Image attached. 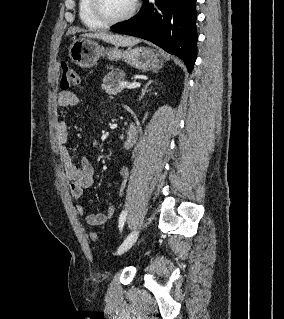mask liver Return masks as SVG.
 Returning <instances> with one entry per match:
<instances>
[{
	"label": "liver",
	"mask_w": 284,
	"mask_h": 319,
	"mask_svg": "<svg viewBox=\"0 0 284 319\" xmlns=\"http://www.w3.org/2000/svg\"><path fill=\"white\" fill-rule=\"evenodd\" d=\"M82 36L87 38L101 39L115 46H132L140 42V39H137L134 37H128V36H123L119 34H109L106 32L85 33Z\"/></svg>",
	"instance_id": "6515ba94"
}]
</instances>
